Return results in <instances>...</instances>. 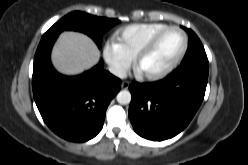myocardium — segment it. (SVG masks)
<instances>
[{"label":"myocardium","instance_id":"obj_1","mask_svg":"<svg viewBox=\"0 0 248 165\" xmlns=\"http://www.w3.org/2000/svg\"><path fill=\"white\" fill-rule=\"evenodd\" d=\"M174 30L180 32L183 36V44H182V48L179 51V53L173 58V60L169 64H167L162 69L152 72V73H141L139 70V63L142 60V58L146 56L154 48V46L157 44L159 39L164 34H166L169 31H174ZM187 49H188V36L186 32L178 26H167L164 29L152 35L148 39V41L140 48V50L136 53L134 57V67L146 79H149V80L160 79L164 77L165 75H167L168 73H170L181 62V60L183 59V57L185 56L187 52Z\"/></svg>","mask_w":248,"mask_h":165}]
</instances>
